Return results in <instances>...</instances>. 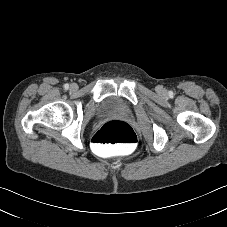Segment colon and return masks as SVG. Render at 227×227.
<instances>
[{
    "label": "colon",
    "mask_w": 227,
    "mask_h": 227,
    "mask_svg": "<svg viewBox=\"0 0 227 227\" xmlns=\"http://www.w3.org/2000/svg\"><path fill=\"white\" fill-rule=\"evenodd\" d=\"M136 137L133 129L127 123L112 121L104 124L93 137V147L103 152L109 145L121 149H130L135 146Z\"/></svg>",
    "instance_id": "1"
}]
</instances>
